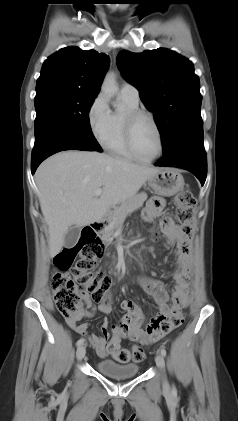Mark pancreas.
Listing matches in <instances>:
<instances>
[{
    "instance_id": "obj_1",
    "label": "pancreas",
    "mask_w": 238,
    "mask_h": 421,
    "mask_svg": "<svg viewBox=\"0 0 238 421\" xmlns=\"http://www.w3.org/2000/svg\"><path fill=\"white\" fill-rule=\"evenodd\" d=\"M147 199V194L142 192L136 194L135 196L127 199L117 206L109 216V224L101 232V239L103 242L110 244L111 236L113 235L115 229L125 220V218L142 207L144 201Z\"/></svg>"
}]
</instances>
